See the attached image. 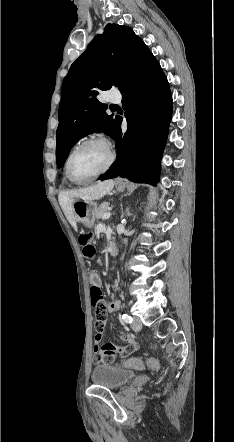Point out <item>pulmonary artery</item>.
Listing matches in <instances>:
<instances>
[{"instance_id":"obj_1","label":"pulmonary artery","mask_w":234,"mask_h":442,"mask_svg":"<svg viewBox=\"0 0 234 442\" xmlns=\"http://www.w3.org/2000/svg\"><path fill=\"white\" fill-rule=\"evenodd\" d=\"M121 97L119 95H111L108 99L110 103H118L120 102Z\"/></svg>"}]
</instances>
